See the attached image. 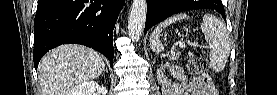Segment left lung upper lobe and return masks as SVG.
I'll list each match as a JSON object with an SVG mask.
<instances>
[{
    "mask_svg": "<svg viewBox=\"0 0 277 95\" xmlns=\"http://www.w3.org/2000/svg\"><path fill=\"white\" fill-rule=\"evenodd\" d=\"M198 0H180V3L185 6H197V5H203L207 6L205 3H199Z\"/></svg>",
    "mask_w": 277,
    "mask_h": 95,
    "instance_id": "left-lung-upper-lobe-1",
    "label": "left lung upper lobe"
}]
</instances>
